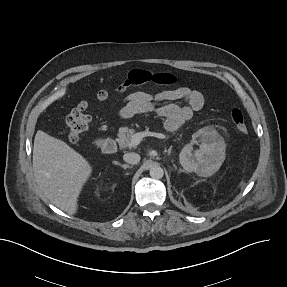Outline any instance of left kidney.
Here are the masks:
<instances>
[{"mask_svg": "<svg viewBox=\"0 0 287 287\" xmlns=\"http://www.w3.org/2000/svg\"><path fill=\"white\" fill-rule=\"evenodd\" d=\"M199 135V150L193 153V143H189L181 150L179 159L186 171L209 177L218 171L224 162L226 145L216 130L210 127L201 129Z\"/></svg>", "mask_w": 287, "mask_h": 287, "instance_id": "1", "label": "left kidney"}]
</instances>
